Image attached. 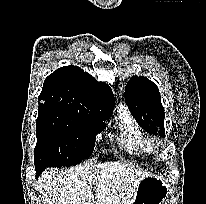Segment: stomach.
Instances as JSON below:
<instances>
[{"label": "stomach", "instance_id": "obj_1", "mask_svg": "<svg viewBox=\"0 0 206 204\" xmlns=\"http://www.w3.org/2000/svg\"><path fill=\"white\" fill-rule=\"evenodd\" d=\"M169 192L162 177L149 175L140 181L130 204H167Z\"/></svg>", "mask_w": 206, "mask_h": 204}]
</instances>
